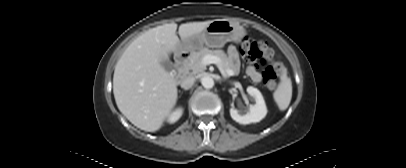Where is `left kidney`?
Here are the masks:
<instances>
[{
  "label": "left kidney",
  "instance_id": "obj_1",
  "mask_svg": "<svg viewBox=\"0 0 406 168\" xmlns=\"http://www.w3.org/2000/svg\"><path fill=\"white\" fill-rule=\"evenodd\" d=\"M247 92L254 99L255 104L249 105L247 110L241 113L234 107L230 108L232 119L240 124L260 122L267 114L266 104L261 92L252 86L247 88Z\"/></svg>",
  "mask_w": 406,
  "mask_h": 168
}]
</instances>
